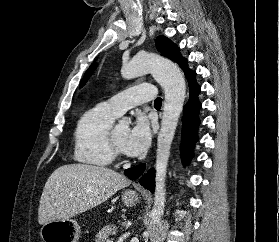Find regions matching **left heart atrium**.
<instances>
[{"label":"left heart atrium","instance_id":"left-heart-atrium-1","mask_svg":"<svg viewBox=\"0 0 279 242\" xmlns=\"http://www.w3.org/2000/svg\"><path fill=\"white\" fill-rule=\"evenodd\" d=\"M151 141V129L147 118L139 115L131 127L126 143L125 152L131 156L144 153Z\"/></svg>","mask_w":279,"mask_h":242}]
</instances>
